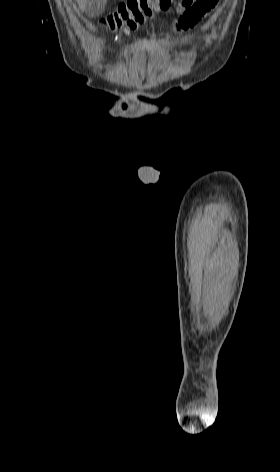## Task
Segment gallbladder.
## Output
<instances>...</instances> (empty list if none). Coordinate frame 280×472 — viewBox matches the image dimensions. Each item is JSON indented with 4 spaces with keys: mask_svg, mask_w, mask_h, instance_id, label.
<instances>
[{
    "mask_svg": "<svg viewBox=\"0 0 280 472\" xmlns=\"http://www.w3.org/2000/svg\"><path fill=\"white\" fill-rule=\"evenodd\" d=\"M107 0H87L86 12L91 18L100 16L106 8Z\"/></svg>",
    "mask_w": 280,
    "mask_h": 472,
    "instance_id": "obj_1",
    "label": "gallbladder"
}]
</instances>
